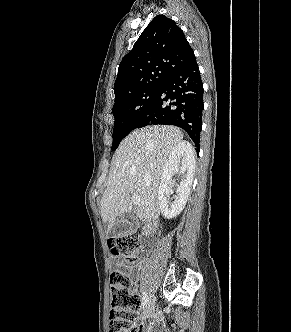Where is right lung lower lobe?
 Instances as JSON below:
<instances>
[{
  "label": "right lung lower lobe",
  "instance_id": "right-lung-lower-lobe-1",
  "mask_svg": "<svg viewBox=\"0 0 291 332\" xmlns=\"http://www.w3.org/2000/svg\"><path fill=\"white\" fill-rule=\"evenodd\" d=\"M203 92L199 68L193 59L166 77L136 128L148 124L178 126L190 135L199 150Z\"/></svg>",
  "mask_w": 291,
  "mask_h": 332
}]
</instances>
